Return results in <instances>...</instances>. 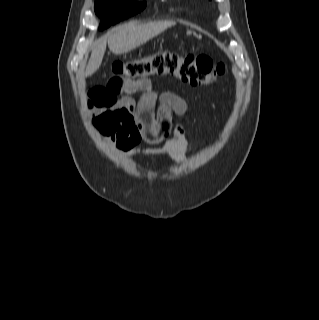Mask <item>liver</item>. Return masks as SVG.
Here are the masks:
<instances>
[{
    "instance_id": "liver-1",
    "label": "liver",
    "mask_w": 319,
    "mask_h": 320,
    "mask_svg": "<svg viewBox=\"0 0 319 320\" xmlns=\"http://www.w3.org/2000/svg\"><path fill=\"white\" fill-rule=\"evenodd\" d=\"M175 25L172 21H158L147 24L127 23L114 28L106 37L98 39L93 47L86 67V76L96 72L103 60L106 45L116 55H121L143 45L166 29Z\"/></svg>"
}]
</instances>
